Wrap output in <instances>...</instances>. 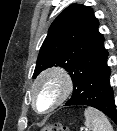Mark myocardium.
Here are the masks:
<instances>
[{
  "label": "myocardium",
  "mask_w": 117,
  "mask_h": 131,
  "mask_svg": "<svg viewBox=\"0 0 117 131\" xmlns=\"http://www.w3.org/2000/svg\"><path fill=\"white\" fill-rule=\"evenodd\" d=\"M54 80L60 86V92L56 101L46 110H39L36 103V91L46 81ZM73 91V81L71 76L60 67H53L41 72L33 81L30 88V101L33 109L40 113L46 114L54 111L62 105Z\"/></svg>",
  "instance_id": "1"
}]
</instances>
